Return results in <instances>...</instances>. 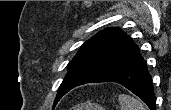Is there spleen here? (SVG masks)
Listing matches in <instances>:
<instances>
[{"mask_svg":"<svg viewBox=\"0 0 171 110\" xmlns=\"http://www.w3.org/2000/svg\"><path fill=\"white\" fill-rule=\"evenodd\" d=\"M120 110H147L143 102L127 94L119 95Z\"/></svg>","mask_w":171,"mask_h":110,"instance_id":"3e777b00","label":"spleen"}]
</instances>
